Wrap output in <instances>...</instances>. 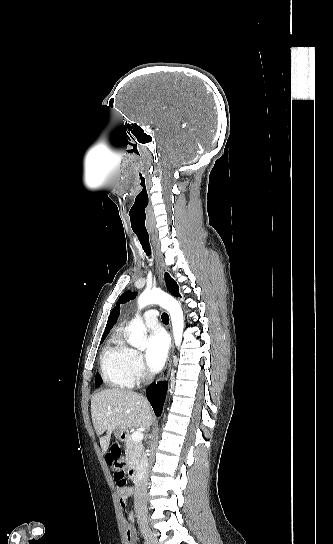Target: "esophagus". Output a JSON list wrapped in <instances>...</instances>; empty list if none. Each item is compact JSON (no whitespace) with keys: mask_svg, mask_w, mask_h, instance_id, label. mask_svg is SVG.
<instances>
[{"mask_svg":"<svg viewBox=\"0 0 333 544\" xmlns=\"http://www.w3.org/2000/svg\"><path fill=\"white\" fill-rule=\"evenodd\" d=\"M156 263H157V272H158L159 278H160L161 282L163 283V282H164V269H163V263L161 262V260H160L159 255H158L157 252H156ZM168 329H169L170 333H172V329H171V325H170V324H169V326H168ZM172 356H173V348H172L171 351H170V354H169V356H168L166 365H165L164 370H163V372H162V374H161V377L159 378L158 381H160V380H165V379L168 378L169 373H170V369H171Z\"/></svg>","mask_w":333,"mask_h":544,"instance_id":"obj_1","label":"esophagus"}]
</instances>
